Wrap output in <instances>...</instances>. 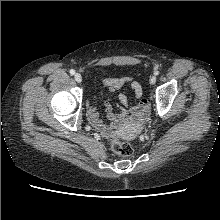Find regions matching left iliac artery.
Here are the masks:
<instances>
[{
	"instance_id": "1",
	"label": "left iliac artery",
	"mask_w": 220,
	"mask_h": 220,
	"mask_svg": "<svg viewBox=\"0 0 220 220\" xmlns=\"http://www.w3.org/2000/svg\"><path fill=\"white\" fill-rule=\"evenodd\" d=\"M158 73H159V72H158V71H156V72H155V75H158Z\"/></svg>"
}]
</instances>
